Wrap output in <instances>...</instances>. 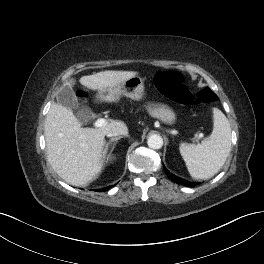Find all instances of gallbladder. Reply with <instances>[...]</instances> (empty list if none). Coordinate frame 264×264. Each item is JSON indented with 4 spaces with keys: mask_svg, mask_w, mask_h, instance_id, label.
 Masks as SVG:
<instances>
[{
    "mask_svg": "<svg viewBox=\"0 0 264 264\" xmlns=\"http://www.w3.org/2000/svg\"><path fill=\"white\" fill-rule=\"evenodd\" d=\"M58 104L75 111L77 119L81 123H86L93 116L92 111L87 107H79L77 97L71 87V85H63L56 96Z\"/></svg>",
    "mask_w": 264,
    "mask_h": 264,
    "instance_id": "gallbladder-1",
    "label": "gallbladder"
}]
</instances>
